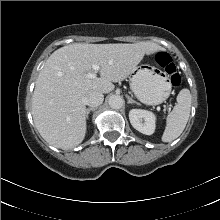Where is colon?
Segmentation results:
<instances>
[{
  "mask_svg": "<svg viewBox=\"0 0 220 220\" xmlns=\"http://www.w3.org/2000/svg\"><path fill=\"white\" fill-rule=\"evenodd\" d=\"M155 61L169 75L172 85L174 87L179 86L181 83V76L171 56L166 52H158L155 55Z\"/></svg>",
  "mask_w": 220,
  "mask_h": 220,
  "instance_id": "obj_1",
  "label": "colon"
}]
</instances>
